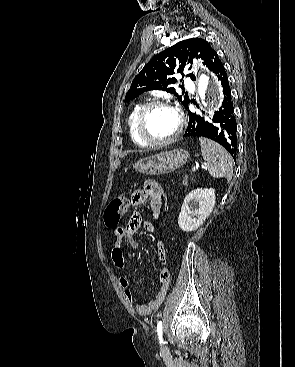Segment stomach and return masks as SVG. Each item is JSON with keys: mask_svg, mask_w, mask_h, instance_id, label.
<instances>
[{"mask_svg": "<svg viewBox=\"0 0 295 367\" xmlns=\"http://www.w3.org/2000/svg\"><path fill=\"white\" fill-rule=\"evenodd\" d=\"M189 158V152L184 149L164 151L138 161L135 169L147 175L168 174L186 164Z\"/></svg>", "mask_w": 295, "mask_h": 367, "instance_id": "0dacf381", "label": "stomach"}]
</instances>
